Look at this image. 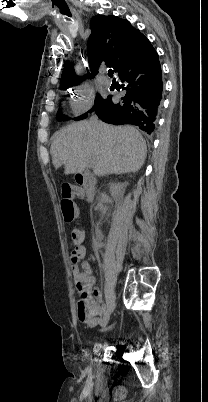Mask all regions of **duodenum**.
<instances>
[{
    "label": "duodenum",
    "instance_id": "duodenum-1",
    "mask_svg": "<svg viewBox=\"0 0 208 402\" xmlns=\"http://www.w3.org/2000/svg\"><path fill=\"white\" fill-rule=\"evenodd\" d=\"M76 181L84 188L87 199L91 200L95 192V179L90 174L83 172L76 175Z\"/></svg>",
    "mask_w": 208,
    "mask_h": 402
}]
</instances>
